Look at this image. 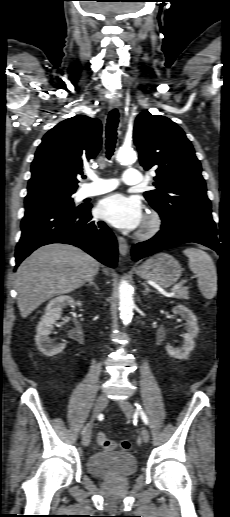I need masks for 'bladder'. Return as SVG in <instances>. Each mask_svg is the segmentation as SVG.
Listing matches in <instances>:
<instances>
[{
    "label": "bladder",
    "instance_id": "bladder-1",
    "mask_svg": "<svg viewBox=\"0 0 230 517\" xmlns=\"http://www.w3.org/2000/svg\"><path fill=\"white\" fill-rule=\"evenodd\" d=\"M87 469L90 474L99 478H127L136 472L137 460L128 452H98L89 458Z\"/></svg>",
    "mask_w": 230,
    "mask_h": 517
}]
</instances>
